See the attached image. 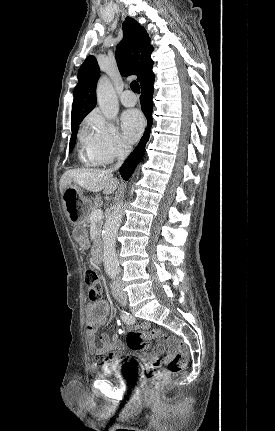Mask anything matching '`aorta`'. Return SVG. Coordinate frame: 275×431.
Listing matches in <instances>:
<instances>
[{
  "label": "aorta",
  "mask_w": 275,
  "mask_h": 431,
  "mask_svg": "<svg viewBox=\"0 0 275 431\" xmlns=\"http://www.w3.org/2000/svg\"><path fill=\"white\" fill-rule=\"evenodd\" d=\"M97 102L107 120H114L119 112V104L110 80L101 77L97 84ZM123 216V203L114 206L103 229V262L106 273L114 278L119 274V262L116 253V236Z\"/></svg>",
  "instance_id": "762f6f07"
}]
</instances>
